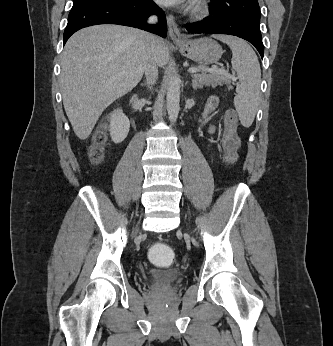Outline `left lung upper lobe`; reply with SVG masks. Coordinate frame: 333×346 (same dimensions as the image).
I'll use <instances>...</instances> for the list:
<instances>
[{
  "label": "left lung upper lobe",
  "mask_w": 333,
  "mask_h": 346,
  "mask_svg": "<svg viewBox=\"0 0 333 346\" xmlns=\"http://www.w3.org/2000/svg\"><path fill=\"white\" fill-rule=\"evenodd\" d=\"M210 10L221 17H236L260 25V8L257 0H211Z\"/></svg>",
  "instance_id": "1"
}]
</instances>
